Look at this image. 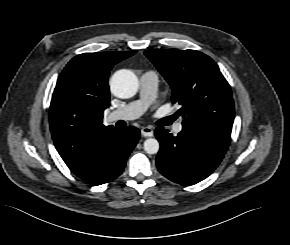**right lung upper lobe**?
<instances>
[{
    "label": "right lung upper lobe",
    "instance_id": "cb5924a9",
    "mask_svg": "<svg viewBox=\"0 0 290 245\" xmlns=\"http://www.w3.org/2000/svg\"><path fill=\"white\" fill-rule=\"evenodd\" d=\"M136 51L84 53L61 72L49 109L50 130L60 156L71 168L91 157L116 128L104 126L108 107V75Z\"/></svg>",
    "mask_w": 290,
    "mask_h": 245
}]
</instances>
